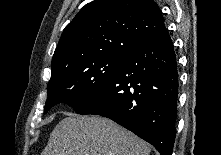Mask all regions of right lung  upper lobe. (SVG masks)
Here are the masks:
<instances>
[{
	"label": "right lung upper lobe",
	"instance_id": "obj_1",
	"mask_svg": "<svg viewBox=\"0 0 221 155\" xmlns=\"http://www.w3.org/2000/svg\"><path fill=\"white\" fill-rule=\"evenodd\" d=\"M164 30L153 0H95L65 27L52 58V74L81 59L127 55L138 42Z\"/></svg>",
	"mask_w": 221,
	"mask_h": 155
}]
</instances>
